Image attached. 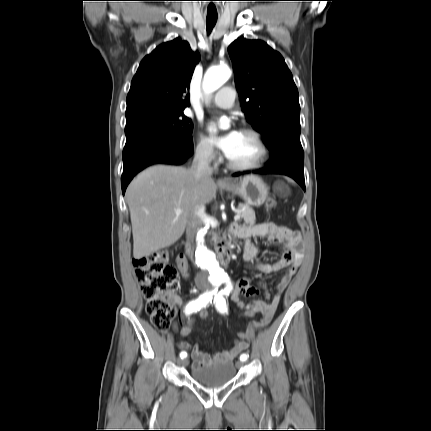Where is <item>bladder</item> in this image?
<instances>
[{"label":"bladder","instance_id":"1","mask_svg":"<svg viewBox=\"0 0 431 431\" xmlns=\"http://www.w3.org/2000/svg\"><path fill=\"white\" fill-rule=\"evenodd\" d=\"M190 376L201 386L207 388L222 387L236 376V366L233 362L215 363L203 367H194Z\"/></svg>","mask_w":431,"mask_h":431}]
</instances>
